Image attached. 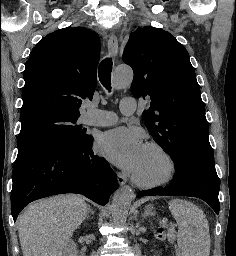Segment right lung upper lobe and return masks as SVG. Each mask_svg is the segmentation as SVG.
<instances>
[{"label": "right lung upper lobe", "mask_w": 236, "mask_h": 256, "mask_svg": "<svg viewBox=\"0 0 236 256\" xmlns=\"http://www.w3.org/2000/svg\"><path fill=\"white\" fill-rule=\"evenodd\" d=\"M99 57V37L86 28L42 38L26 62L20 119L42 111L78 118L82 99L93 98Z\"/></svg>", "instance_id": "obj_1"}]
</instances>
